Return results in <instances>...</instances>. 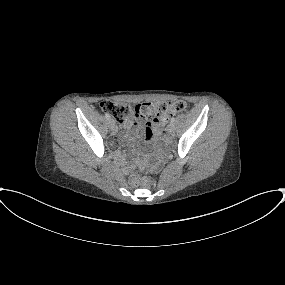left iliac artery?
Listing matches in <instances>:
<instances>
[{"mask_svg":"<svg viewBox=\"0 0 285 285\" xmlns=\"http://www.w3.org/2000/svg\"><path fill=\"white\" fill-rule=\"evenodd\" d=\"M174 121H175V118L172 117L171 120H170V122L173 123Z\"/></svg>","mask_w":285,"mask_h":285,"instance_id":"1","label":"left iliac artery"}]
</instances>
